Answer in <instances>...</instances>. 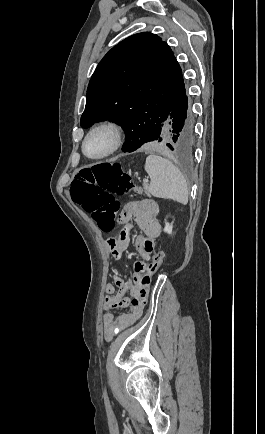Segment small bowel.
<instances>
[{"label":"small bowel","mask_w":265,"mask_h":434,"mask_svg":"<svg viewBox=\"0 0 265 434\" xmlns=\"http://www.w3.org/2000/svg\"><path fill=\"white\" fill-rule=\"evenodd\" d=\"M159 213L160 207L152 199L127 203L121 215V222L125 224L124 229L120 235L109 237L106 241L110 253L116 259L122 258L129 242L130 230L135 224L142 231L136 238V248L145 260L152 259L155 239L161 233ZM142 265L141 262L135 263L133 272L136 275H132V280H137V275H144V270L140 267ZM132 280L123 279L116 271L113 283L108 282L105 285L103 308L106 312L102 317V331L106 341H110L120 331L135 323L141 317L143 307L149 303L151 292L148 289L142 292ZM125 308H129L128 311H123Z\"/></svg>","instance_id":"1"}]
</instances>
